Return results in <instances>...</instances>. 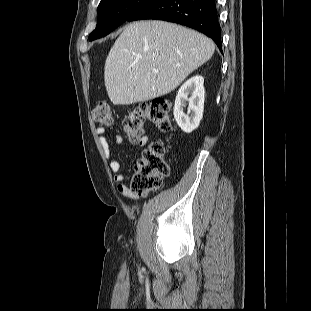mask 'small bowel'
I'll list each match as a JSON object with an SVG mask.
<instances>
[{"label": "small bowel", "instance_id": "1", "mask_svg": "<svg viewBox=\"0 0 311 311\" xmlns=\"http://www.w3.org/2000/svg\"><path fill=\"white\" fill-rule=\"evenodd\" d=\"M95 133L98 138V143L101 152L108 160L109 168L111 172L114 174V181L117 185L118 192L128 199L137 200L139 198V195L133 192L130 186H128L124 182V174L120 171L121 167L120 162L113 156V149L106 137L105 129L102 127H97L95 129ZM114 141L115 144L119 146L124 143V138L121 135H116ZM148 142H149L148 136H142V138L138 142V145L140 147H145L148 144Z\"/></svg>", "mask_w": 311, "mask_h": 311}]
</instances>
